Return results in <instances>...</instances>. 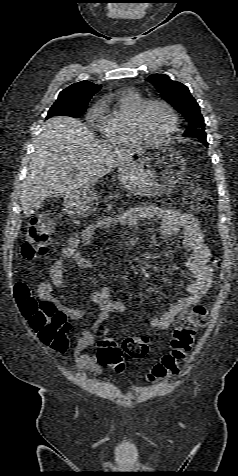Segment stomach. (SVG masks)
Returning a JSON list of instances; mask_svg holds the SVG:
<instances>
[{"label":"stomach","mask_w":238,"mask_h":476,"mask_svg":"<svg viewBox=\"0 0 238 476\" xmlns=\"http://www.w3.org/2000/svg\"><path fill=\"white\" fill-rule=\"evenodd\" d=\"M186 170V160L165 144H146V151L133 152V158L118 166L121 185L136 194L155 196L170 192ZM98 197L92 186L80 188L64 198V210L72 216L92 213Z\"/></svg>","instance_id":"0dacf381"}]
</instances>
